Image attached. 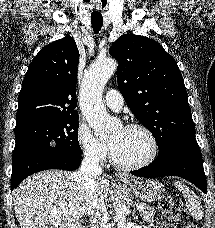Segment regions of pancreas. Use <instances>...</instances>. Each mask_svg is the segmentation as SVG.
<instances>
[{"label": "pancreas", "instance_id": "1", "mask_svg": "<svg viewBox=\"0 0 215 228\" xmlns=\"http://www.w3.org/2000/svg\"><path fill=\"white\" fill-rule=\"evenodd\" d=\"M143 222H149L151 226H154V218H155V212L153 208H146L144 212H141L140 214Z\"/></svg>", "mask_w": 215, "mask_h": 228}]
</instances>
